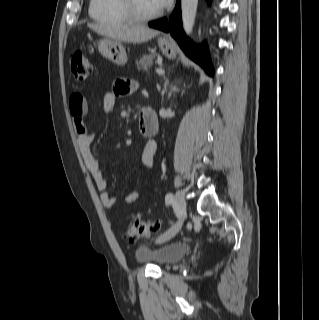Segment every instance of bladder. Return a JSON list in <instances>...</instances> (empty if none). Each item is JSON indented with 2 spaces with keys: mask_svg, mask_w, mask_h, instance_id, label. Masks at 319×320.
<instances>
[{
  "mask_svg": "<svg viewBox=\"0 0 319 320\" xmlns=\"http://www.w3.org/2000/svg\"><path fill=\"white\" fill-rule=\"evenodd\" d=\"M187 250V246L181 243L158 244L153 241L138 246L134 255L140 263H152L164 267L178 262Z\"/></svg>",
  "mask_w": 319,
  "mask_h": 320,
  "instance_id": "31cf9c89",
  "label": "bladder"
}]
</instances>
